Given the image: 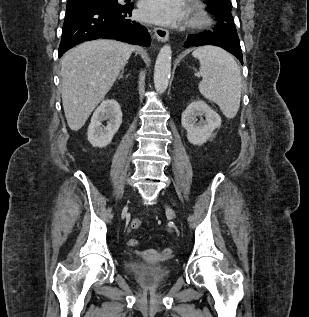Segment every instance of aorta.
I'll return each instance as SVG.
<instances>
[{"mask_svg": "<svg viewBox=\"0 0 309 317\" xmlns=\"http://www.w3.org/2000/svg\"><path fill=\"white\" fill-rule=\"evenodd\" d=\"M171 60V47L165 45L160 49L155 63L154 86L157 92L163 93L168 87L171 75Z\"/></svg>", "mask_w": 309, "mask_h": 317, "instance_id": "1", "label": "aorta"}]
</instances>
